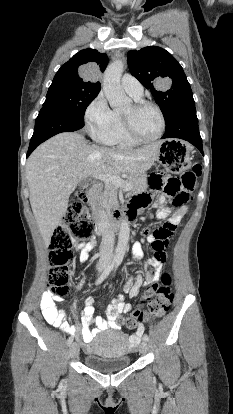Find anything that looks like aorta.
I'll list each match as a JSON object with an SVG mask.
<instances>
[{"instance_id":"762f6f07","label":"aorta","mask_w":233,"mask_h":414,"mask_svg":"<svg viewBox=\"0 0 233 414\" xmlns=\"http://www.w3.org/2000/svg\"><path fill=\"white\" fill-rule=\"evenodd\" d=\"M123 69L124 63L121 60H116L108 65L104 72L103 91L109 101L110 106L114 109L124 108L131 102V99L126 96L120 84ZM129 236V221L127 217H122L118 237V245L114 255L115 262H121L123 260L129 241Z\"/></svg>"}]
</instances>
